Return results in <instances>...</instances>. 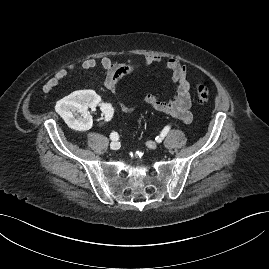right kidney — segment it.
<instances>
[{
	"mask_svg": "<svg viewBox=\"0 0 269 269\" xmlns=\"http://www.w3.org/2000/svg\"><path fill=\"white\" fill-rule=\"evenodd\" d=\"M100 100V96L94 91L80 90L58 101L55 109L66 124L73 129L87 130L92 125L94 128L99 129L109 125L115 113V107L110 100L101 102ZM97 104L98 109L103 114L92 122V118L87 112V107H95ZM77 113H80L81 116H77Z\"/></svg>",
	"mask_w": 269,
	"mask_h": 269,
	"instance_id": "obj_1",
	"label": "right kidney"
}]
</instances>
